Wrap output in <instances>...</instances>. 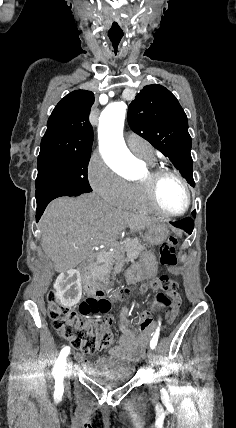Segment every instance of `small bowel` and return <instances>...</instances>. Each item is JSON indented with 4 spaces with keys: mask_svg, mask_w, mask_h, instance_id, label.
<instances>
[{
    "mask_svg": "<svg viewBox=\"0 0 236 428\" xmlns=\"http://www.w3.org/2000/svg\"><path fill=\"white\" fill-rule=\"evenodd\" d=\"M111 320L108 319L107 323ZM121 336L118 344L112 347L109 351L111 360L136 362L142 359L145 353V348L153 334L154 326L149 323L146 326L134 323L128 316L127 309H123L118 320ZM77 360L86 368L92 369L93 365L87 360L84 352L77 354ZM107 360H102L99 363L104 364Z\"/></svg>",
    "mask_w": 236,
    "mask_h": 428,
    "instance_id": "small-bowel-1",
    "label": "small bowel"
}]
</instances>
